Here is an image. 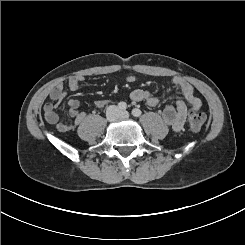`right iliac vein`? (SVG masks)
<instances>
[{
  "label": "right iliac vein",
  "instance_id": "63e3f726",
  "mask_svg": "<svg viewBox=\"0 0 245 245\" xmlns=\"http://www.w3.org/2000/svg\"><path fill=\"white\" fill-rule=\"evenodd\" d=\"M119 114L118 108L116 106H112L108 113V119L114 121L119 118Z\"/></svg>",
  "mask_w": 245,
  "mask_h": 245
}]
</instances>
